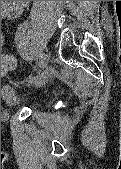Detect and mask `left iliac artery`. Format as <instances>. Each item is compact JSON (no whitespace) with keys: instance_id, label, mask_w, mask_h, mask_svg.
Here are the masks:
<instances>
[{"instance_id":"obj_1","label":"left iliac artery","mask_w":121,"mask_h":169,"mask_svg":"<svg viewBox=\"0 0 121 169\" xmlns=\"http://www.w3.org/2000/svg\"><path fill=\"white\" fill-rule=\"evenodd\" d=\"M27 30V25L19 26L17 30V34L15 35V47L16 51H18V54H21V58H25V61H30V56L28 55V50H30V47L26 46V42H24L25 34ZM31 54V53H30ZM44 65L39 62L38 69H34V74H42L43 73ZM38 76H32L29 77L26 81L32 82L34 81Z\"/></svg>"}]
</instances>
